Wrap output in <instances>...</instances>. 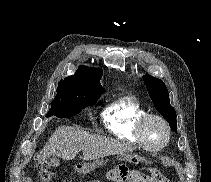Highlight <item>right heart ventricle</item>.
<instances>
[{
    "mask_svg": "<svg viewBox=\"0 0 211 182\" xmlns=\"http://www.w3.org/2000/svg\"><path fill=\"white\" fill-rule=\"evenodd\" d=\"M146 109L133 96H121L106 106L102 120L108 131L116 138L140 145L136 136L139 119L146 114Z\"/></svg>",
    "mask_w": 211,
    "mask_h": 182,
    "instance_id": "e07e8e85",
    "label": "right heart ventricle"
}]
</instances>
